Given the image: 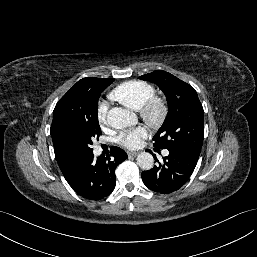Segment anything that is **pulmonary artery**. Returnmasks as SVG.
I'll return each instance as SVG.
<instances>
[{"mask_svg":"<svg viewBox=\"0 0 257 257\" xmlns=\"http://www.w3.org/2000/svg\"><path fill=\"white\" fill-rule=\"evenodd\" d=\"M163 154H164L165 156H167V155L169 154L168 150H165V151L163 152Z\"/></svg>","mask_w":257,"mask_h":257,"instance_id":"e3ab8cb5","label":"pulmonary artery"}]
</instances>
